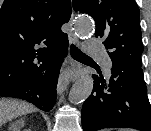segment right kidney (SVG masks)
<instances>
[{"instance_id": "obj_1", "label": "right kidney", "mask_w": 151, "mask_h": 131, "mask_svg": "<svg viewBox=\"0 0 151 131\" xmlns=\"http://www.w3.org/2000/svg\"><path fill=\"white\" fill-rule=\"evenodd\" d=\"M19 125L20 123L19 122H15L12 126V131H19Z\"/></svg>"}]
</instances>
